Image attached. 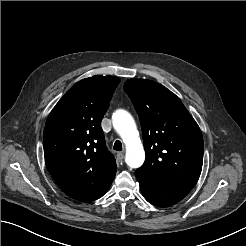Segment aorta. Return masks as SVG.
<instances>
[{"label":"aorta","instance_id":"762f6f07","mask_svg":"<svg viewBox=\"0 0 246 246\" xmlns=\"http://www.w3.org/2000/svg\"><path fill=\"white\" fill-rule=\"evenodd\" d=\"M112 122L114 129L125 143L126 164L130 168H139L144 163L145 151L133 117L125 110H117L112 116Z\"/></svg>","mask_w":246,"mask_h":246}]
</instances>
